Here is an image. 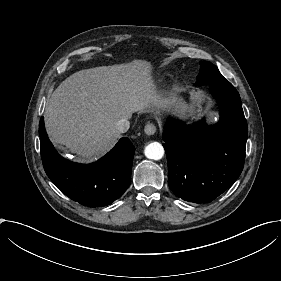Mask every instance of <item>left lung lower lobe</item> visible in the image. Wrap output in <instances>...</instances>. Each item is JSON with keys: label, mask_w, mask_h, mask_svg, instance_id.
Here are the masks:
<instances>
[{"label": "left lung lower lobe", "mask_w": 281, "mask_h": 281, "mask_svg": "<svg viewBox=\"0 0 281 281\" xmlns=\"http://www.w3.org/2000/svg\"><path fill=\"white\" fill-rule=\"evenodd\" d=\"M220 108L215 129L203 119L189 127L168 120L163 133L168 184L185 201L209 203L240 176L245 159L247 122L238 91L211 84Z\"/></svg>", "instance_id": "1"}]
</instances>
